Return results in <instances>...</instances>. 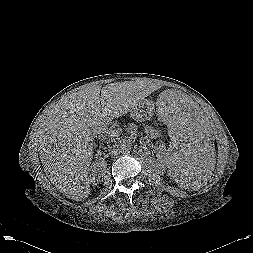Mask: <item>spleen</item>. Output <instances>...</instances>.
Segmentation results:
<instances>
[{
	"label": "spleen",
	"instance_id": "3e777b00",
	"mask_svg": "<svg viewBox=\"0 0 253 253\" xmlns=\"http://www.w3.org/2000/svg\"><path fill=\"white\" fill-rule=\"evenodd\" d=\"M154 108L171 138L167 153L170 171L182 187H201L212 171L215 156L216 133L211 118L178 91L160 92Z\"/></svg>",
	"mask_w": 253,
	"mask_h": 253
}]
</instances>
